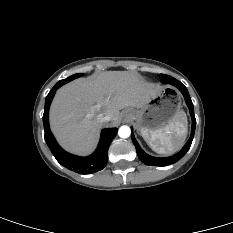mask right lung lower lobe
Returning a JSON list of instances; mask_svg holds the SVG:
<instances>
[{
  "label": "right lung lower lobe",
  "mask_w": 233,
  "mask_h": 233,
  "mask_svg": "<svg viewBox=\"0 0 233 233\" xmlns=\"http://www.w3.org/2000/svg\"><path fill=\"white\" fill-rule=\"evenodd\" d=\"M64 85L58 82L49 92L45 99V109L43 114V124L45 130V141L56 160L64 167L74 170L80 174H92L102 170L108 161V148L111 141L117 134V128L104 129L101 132L100 141L93 154L87 157H78L64 151L55 140L49 127V107L56 90Z\"/></svg>",
  "instance_id": "98d812e1"
}]
</instances>
